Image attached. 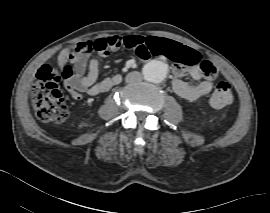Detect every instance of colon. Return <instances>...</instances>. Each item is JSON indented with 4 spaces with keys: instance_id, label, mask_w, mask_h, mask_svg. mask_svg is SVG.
<instances>
[{
    "instance_id": "5ec220e1",
    "label": "colon",
    "mask_w": 270,
    "mask_h": 213,
    "mask_svg": "<svg viewBox=\"0 0 270 213\" xmlns=\"http://www.w3.org/2000/svg\"><path fill=\"white\" fill-rule=\"evenodd\" d=\"M155 40L149 42L150 45H153ZM125 46L139 56L147 45L141 37L128 36L125 39ZM202 72L204 76L213 78L215 68L210 62L205 61L202 64ZM72 75L73 71L68 63L62 66L61 71H57L49 65H42L36 71L31 97L36 114L40 120L60 123L68 117V107L65 104L59 82L62 78L67 79L72 77ZM232 99L233 95L230 84L222 81L217 84L211 96L210 104L214 108H222L229 105Z\"/></svg>"
}]
</instances>
